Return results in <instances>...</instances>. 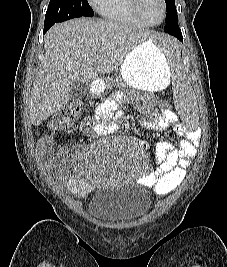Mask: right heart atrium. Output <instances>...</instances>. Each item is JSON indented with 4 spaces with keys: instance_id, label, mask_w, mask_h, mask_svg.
Masks as SVG:
<instances>
[{
    "instance_id": "d8ad5b80",
    "label": "right heart atrium",
    "mask_w": 227,
    "mask_h": 267,
    "mask_svg": "<svg viewBox=\"0 0 227 267\" xmlns=\"http://www.w3.org/2000/svg\"><path fill=\"white\" fill-rule=\"evenodd\" d=\"M88 1L95 9H97V7L102 3L103 0H88Z\"/></svg>"
}]
</instances>
